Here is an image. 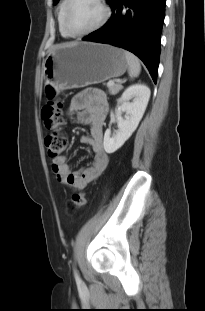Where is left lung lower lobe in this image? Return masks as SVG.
I'll return each mask as SVG.
<instances>
[{"label":"left lung lower lobe","instance_id":"obj_1","mask_svg":"<svg viewBox=\"0 0 205 311\" xmlns=\"http://www.w3.org/2000/svg\"><path fill=\"white\" fill-rule=\"evenodd\" d=\"M165 5L166 0H114L111 19L83 40L111 44L134 53L156 83Z\"/></svg>","mask_w":205,"mask_h":311}]
</instances>
